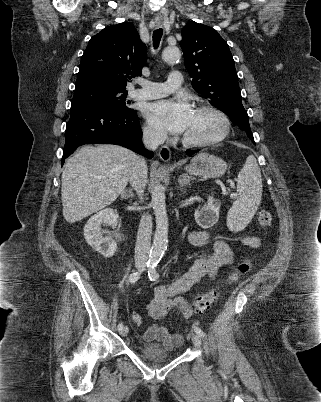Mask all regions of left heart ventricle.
<instances>
[{"label": "left heart ventricle", "mask_w": 321, "mask_h": 402, "mask_svg": "<svg viewBox=\"0 0 321 402\" xmlns=\"http://www.w3.org/2000/svg\"><path fill=\"white\" fill-rule=\"evenodd\" d=\"M222 128L220 118L210 111H193L184 135L197 140H206L219 134Z\"/></svg>", "instance_id": "b2bd125f"}]
</instances>
